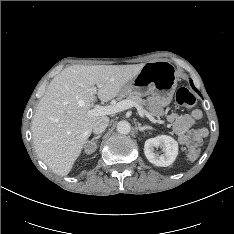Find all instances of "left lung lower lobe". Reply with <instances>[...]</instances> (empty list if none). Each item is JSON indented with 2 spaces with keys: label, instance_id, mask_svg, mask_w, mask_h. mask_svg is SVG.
<instances>
[{
  "label": "left lung lower lobe",
  "instance_id": "obj_1",
  "mask_svg": "<svg viewBox=\"0 0 234 234\" xmlns=\"http://www.w3.org/2000/svg\"><path fill=\"white\" fill-rule=\"evenodd\" d=\"M190 83H191V86L194 88V85H193V83H192V80H190Z\"/></svg>",
  "mask_w": 234,
  "mask_h": 234
}]
</instances>
